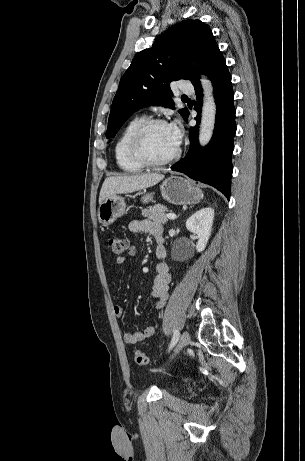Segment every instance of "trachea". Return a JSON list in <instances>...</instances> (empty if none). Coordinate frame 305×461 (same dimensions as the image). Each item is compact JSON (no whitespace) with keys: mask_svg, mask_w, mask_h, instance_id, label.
Returning a JSON list of instances; mask_svg holds the SVG:
<instances>
[{"mask_svg":"<svg viewBox=\"0 0 305 461\" xmlns=\"http://www.w3.org/2000/svg\"><path fill=\"white\" fill-rule=\"evenodd\" d=\"M181 99H182V100L187 99V96H186V95H183V96L181 97Z\"/></svg>","mask_w":305,"mask_h":461,"instance_id":"1","label":"trachea"}]
</instances>
